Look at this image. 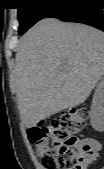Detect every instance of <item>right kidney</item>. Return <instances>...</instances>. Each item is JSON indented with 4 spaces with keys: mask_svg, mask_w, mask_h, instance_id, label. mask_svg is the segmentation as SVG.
Instances as JSON below:
<instances>
[{
    "mask_svg": "<svg viewBox=\"0 0 104 169\" xmlns=\"http://www.w3.org/2000/svg\"><path fill=\"white\" fill-rule=\"evenodd\" d=\"M90 118L91 125L96 131L104 130V80H101L95 89Z\"/></svg>",
    "mask_w": 104,
    "mask_h": 169,
    "instance_id": "ca27d5eb",
    "label": "right kidney"
}]
</instances>
